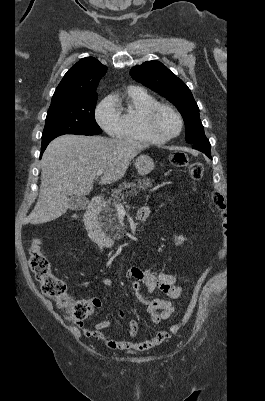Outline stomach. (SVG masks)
Here are the masks:
<instances>
[{
  "label": "stomach",
  "mask_w": 265,
  "mask_h": 401,
  "mask_svg": "<svg viewBox=\"0 0 265 401\" xmlns=\"http://www.w3.org/2000/svg\"><path fill=\"white\" fill-rule=\"evenodd\" d=\"M135 166L137 168L138 174L144 176V174H148L154 168V160L148 154H139L135 160Z\"/></svg>",
  "instance_id": "stomach-1"
}]
</instances>
